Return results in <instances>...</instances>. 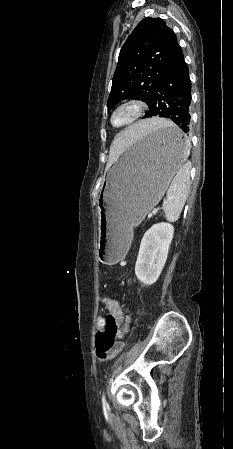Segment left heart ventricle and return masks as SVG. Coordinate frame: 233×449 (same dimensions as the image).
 I'll return each instance as SVG.
<instances>
[{
	"mask_svg": "<svg viewBox=\"0 0 233 449\" xmlns=\"http://www.w3.org/2000/svg\"><path fill=\"white\" fill-rule=\"evenodd\" d=\"M129 116V111L125 110V111H121L119 113L116 114L114 121L115 123H122L123 121H125Z\"/></svg>",
	"mask_w": 233,
	"mask_h": 449,
	"instance_id": "1",
	"label": "left heart ventricle"
}]
</instances>
